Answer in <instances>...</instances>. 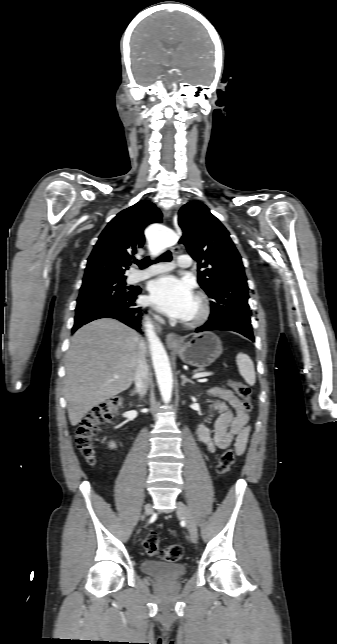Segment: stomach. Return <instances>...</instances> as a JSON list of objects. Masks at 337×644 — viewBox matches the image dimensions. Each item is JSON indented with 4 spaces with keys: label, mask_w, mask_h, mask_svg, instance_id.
Wrapping results in <instances>:
<instances>
[{
    "label": "stomach",
    "mask_w": 337,
    "mask_h": 644,
    "mask_svg": "<svg viewBox=\"0 0 337 644\" xmlns=\"http://www.w3.org/2000/svg\"><path fill=\"white\" fill-rule=\"evenodd\" d=\"M171 349L185 364L199 370L210 366L223 352L221 340L212 332L194 334L188 342Z\"/></svg>",
    "instance_id": "stomach-1"
}]
</instances>
